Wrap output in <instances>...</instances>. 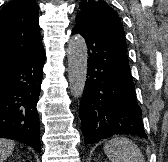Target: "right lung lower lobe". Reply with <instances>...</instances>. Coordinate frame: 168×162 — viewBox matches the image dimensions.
<instances>
[{"mask_svg": "<svg viewBox=\"0 0 168 162\" xmlns=\"http://www.w3.org/2000/svg\"><path fill=\"white\" fill-rule=\"evenodd\" d=\"M46 54L11 63L0 70V138L23 142L40 152L36 105Z\"/></svg>", "mask_w": 168, "mask_h": 162, "instance_id": "obj_1", "label": "right lung lower lobe"}]
</instances>
